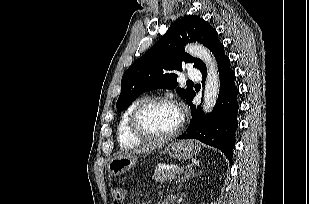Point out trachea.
Masks as SVG:
<instances>
[{
  "label": "trachea",
  "mask_w": 309,
  "mask_h": 204,
  "mask_svg": "<svg viewBox=\"0 0 309 204\" xmlns=\"http://www.w3.org/2000/svg\"><path fill=\"white\" fill-rule=\"evenodd\" d=\"M187 83H188V84H193V82H192V81H187Z\"/></svg>",
  "instance_id": "1"
}]
</instances>
